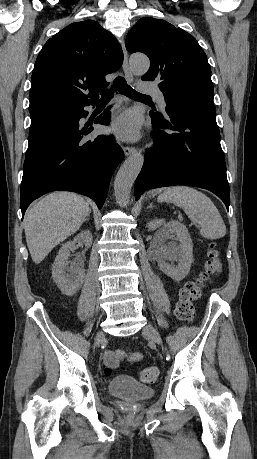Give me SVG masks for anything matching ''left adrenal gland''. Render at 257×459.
Returning <instances> with one entry per match:
<instances>
[{
	"mask_svg": "<svg viewBox=\"0 0 257 459\" xmlns=\"http://www.w3.org/2000/svg\"><path fill=\"white\" fill-rule=\"evenodd\" d=\"M153 207V204L150 203L149 206H147V208H152Z\"/></svg>",
	"mask_w": 257,
	"mask_h": 459,
	"instance_id": "1",
	"label": "left adrenal gland"
}]
</instances>
